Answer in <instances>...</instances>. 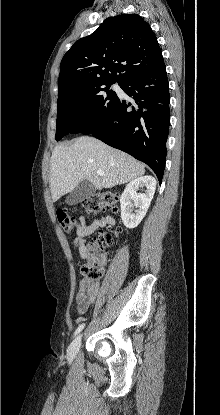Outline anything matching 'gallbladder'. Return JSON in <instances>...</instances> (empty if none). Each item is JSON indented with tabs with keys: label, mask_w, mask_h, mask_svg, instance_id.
Instances as JSON below:
<instances>
[{
	"label": "gallbladder",
	"mask_w": 220,
	"mask_h": 415,
	"mask_svg": "<svg viewBox=\"0 0 220 415\" xmlns=\"http://www.w3.org/2000/svg\"><path fill=\"white\" fill-rule=\"evenodd\" d=\"M95 186L89 180L80 182L66 197L65 202L68 205H75L83 200L90 198L95 193Z\"/></svg>",
	"instance_id": "bac80fb5"
}]
</instances>
